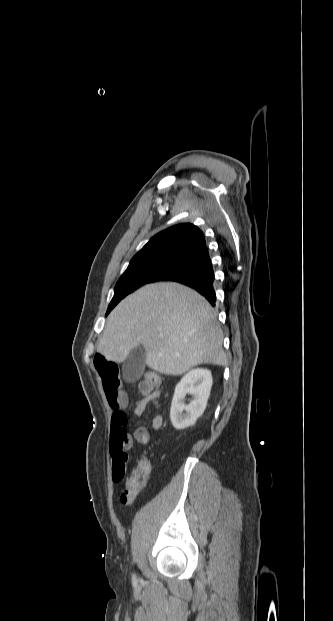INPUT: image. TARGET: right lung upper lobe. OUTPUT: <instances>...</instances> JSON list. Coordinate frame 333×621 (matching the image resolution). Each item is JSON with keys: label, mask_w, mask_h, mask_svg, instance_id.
<instances>
[{"label": "right lung upper lobe", "mask_w": 333, "mask_h": 621, "mask_svg": "<svg viewBox=\"0 0 333 621\" xmlns=\"http://www.w3.org/2000/svg\"><path fill=\"white\" fill-rule=\"evenodd\" d=\"M205 246L203 232L193 224L182 223L153 236L130 263L169 257L187 259Z\"/></svg>", "instance_id": "1"}]
</instances>
